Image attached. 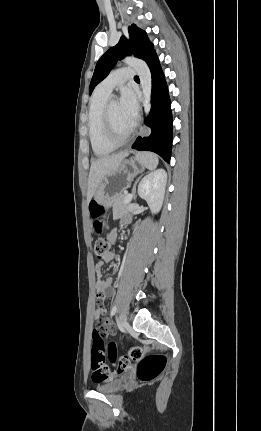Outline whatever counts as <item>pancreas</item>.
Listing matches in <instances>:
<instances>
[{
	"label": "pancreas",
	"instance_id": "1",
	"mask_svg": "<svg viewBox=\"0 0 261 431\" xmlns=\"http://www.w3.org/2000/svg\"><path fill=\"white\" fill-rule=\"evenodd\" d=\"M127 195L125 194H119L113 201L112 207H113V214L114 216L119 215L120 213H125L130 207V203H125V198Z\"/></svg>",
	"mask_w": 261,
	"mask_h": 431
}]
</instances>
